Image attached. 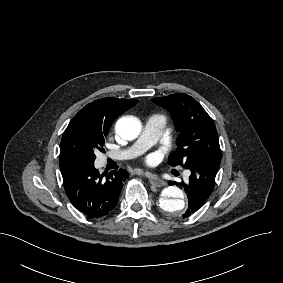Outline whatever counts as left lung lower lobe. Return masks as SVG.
Segmentation results:
<instances>
[{
    "mask_svg": "<svg viewBox=\"0 0 283 283\" xmlns=\"http://www.w3.org/2000/svg\"><path fill=\"white\" fill-rule=\"evenodd\" d=\"M219 166L218 161H202L189 168V184L182 183L188 197V208L183 217L190 216L207 201L214 189Z\"/></svg>",
    "mask_w": 283,
    "mask_h": 283,
    "instance_id": "1",
    "label": "left lung lower lobe"
}]
</instances>
